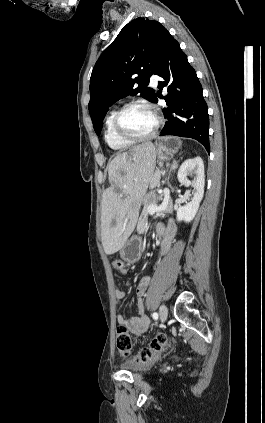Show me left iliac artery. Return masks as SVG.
Listing matches in <instances>:
<instances>
[{
  "label": "left iliac artery",
  "instance_id": "44dca946",
  "mask_svg": "<svg viewBox=\"0 0 265 423\" xmlns=\"http://www.w3.org/2000/svg\"><path fill=\"white\" fill-rule=\"evenodd\" d=\"M152 317H153V319H154V320H157V319H158V314H157L156 312H154V313L152 314Z\"/></svg>",
  "mask_w": 265,
  "mask_h": 423
}]
</instances>
